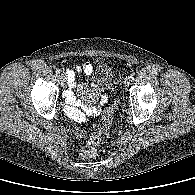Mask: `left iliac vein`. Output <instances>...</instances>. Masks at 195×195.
<instances>
[{
    "label": "left iliac vein",
    "instance_id": "4c4485c4",
    "mask_svg": "<svg viewBox=\"0 0 195 195\" xmlns=\"http://www.w3.org/2000/svg\"><path fill=\"white\" fill-rule=\"evenodd\" d=\"M131 79L129 77L124 78L123 85L128 87L130 85Z\"/></svg>",
    "mask_w": 195,
    "mask_h": 195
}]
</instances>
